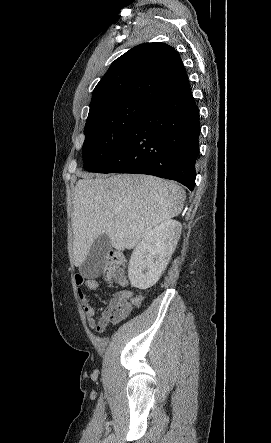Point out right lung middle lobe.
I'll list each match as a JSON object with an SVG mask.
<instances>
[{
  "mask_svg": "<svg viewBox=\"0 0 271 443\" xmlns=\"http://www.w3.org/2000/svg\"><path fill=\"white\" fill-rule=\"evenodd\" d=\"M151 104L144 99H122L95 107L84 129V168L93 172L102 166Z\"/></svg>",
  "mask_w": 271,
  "mask_h": 443,
  "instance_id": "obj_1",
  "label": "right lung middle lobe"
}]
</instances>
